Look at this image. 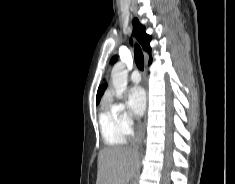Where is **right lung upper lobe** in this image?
Listing matches in <instances>:
<instances>
[{"mask_svg": "<svg viewBox=\"0 0 235 184\" xmlns=\"http://www.w3.org/2000/svg\"><path fill=\"white\" fill-rule=\"evenodd\" d=\"M133 26H134V30L138 36V39L142 45V48L144 51H146L147 53H151V48L149 46V42L151 40V37L145 33V27L143 25L140 24V22L138 21L137 18H135L133 20ZM117 61V56H114L111 59V63H114ZM152 58H150L149 63H151ZM107 87V84H102L97 91V96H96V103L100 102L101 96L103 95L105 89Z\"/></svg>", "mask_w": 235, "mask_h": 184, "instance_id": "obj_1", "label": "right lung upper lobe"}]
</instances>
